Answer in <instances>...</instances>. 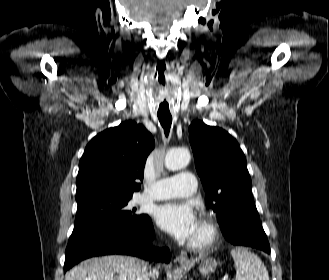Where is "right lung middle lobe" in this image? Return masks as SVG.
I'll return each mask as SVG.
<instances>
[{"label":"right lung middle lobe","instance_id":"right-lung-middle-lobe-1","mask_svg":"<svg viewBox=\"0 0 329 280\" xmlns=\"http://www.w3.org/2000/svg\"><path fill=\"white\" fill-rule=\"evenodd\" d=\"M131 198L91 195L76 199L78 207L73 232L99 222L119 225L132 231L140 230L150 218L128 206Z\"/></svg>","mask_w":329,"mask_h":280}]
</instances>
